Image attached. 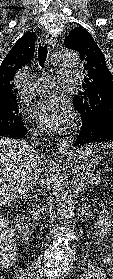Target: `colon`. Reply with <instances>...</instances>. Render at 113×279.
<instances>
[{
	"mask_svg": "<svg viewBox=\"0 0 113 279\" xmlns=\"http://www.w3.org/2000/svg\"><path fill=\"white\" fill-rule=\"evenodd\" d=\"M14 235L9 222L3 216H0V262L10 259L14 253Z\"/></svg>",
	"mask_w": 113,
	"mask_h": 279,
	"instance_id": "5ec220e1",
	"label": "colon"
}]
</instances>
